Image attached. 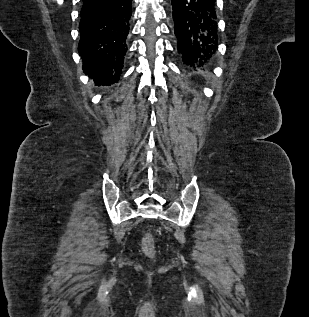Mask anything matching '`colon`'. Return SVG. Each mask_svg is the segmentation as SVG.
I'll return each instance as SVG.
<instances>
[{
  "label": "colon",
  "mask_w": 309,
  "mask_h": 317,
  "mask_svg": "<svg viewBox=\"0 0 309 317\" xmlns=\"http://www.w3.org/2000/svg\"><path fill=\"white\" fill-rule=\"evenodd\" d=\"M141 248L143 253L149 257L154 258L156 254L155 241L151 233H144L141 238Z\"/></svg>",
  "instance_id": "1"
}]
</instances>
